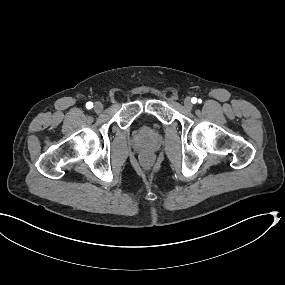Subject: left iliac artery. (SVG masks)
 Listing matches in <instances>:
<instances>
[{
    "instance_id": "44dca946",
    "label": "left iliac artery",
    "mask_w": 285,
    "mask_h": 285,
    "mask_svg": "<svg viewBox=\"0 0 285 285\" xmlns=\"http://www.w3.org/2000/svg\"><path fill=\"white\" fill-rule=\"evenodd\" d=\"M191 101H192L193 104H195V103L197 102V98L193 97V98L191 99Z\"/></svg>"
}]
</instances>
